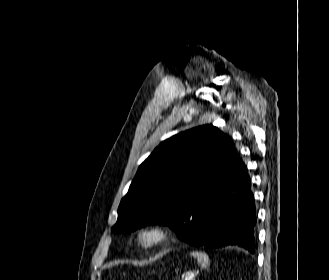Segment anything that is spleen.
Here are the masks:
<instances>
[{"instance_id": "3e777b00", "label": "spleen", "mask_w": 329, "mask_h": 280, "mask_svg": "<svg viewBox=\"0 0 329 280\" xmlns=\"http://www.w3.org/2000/svg\"><path fill=\"white\" fill-rule=\"evenodd\" d=\"M190 255L197 259V262L202 269H208L210 261L206 253L193 251Z\"/></svg>"}]
</instances>
